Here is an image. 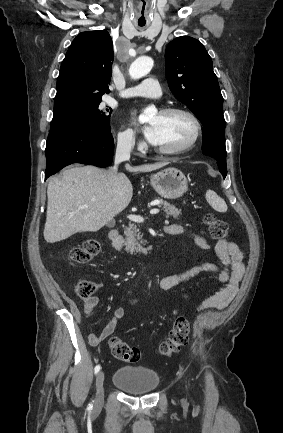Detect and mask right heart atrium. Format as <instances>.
Wrapping results in <instances>:
<instances>
[{
  "mask_svg": "<svg viewBox=\"0 0 283 433\" xmlns=\"http://www.w3.org/2000/svg\"><path fill=\"white\" fill-rule=\"evenodd\" d=\"M116 143L124 150H131L136 145V137L130 128H120L116 132Z\"/></svg>",
  "mask_w": 283,
  "mask_h": 433,
  "instance_id": "obj_1",
  "label": "right heart atrium"
}]
</instances>
